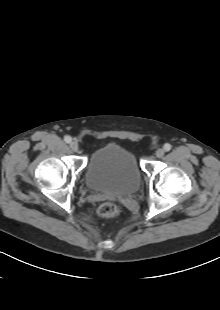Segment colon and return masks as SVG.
I'll use <instances>...</instances> for the list:
<instances>
[{
	"label": "colon",
	"instance_id": "colon-1",
	"mask_svg": "<svg viewBox=\"0 0 220 310\" xmlns=\"http://www.w3.org/2000/svg\"><path fill=\"white\" fill-rule=\"evenodd\" d=\"M119 213V207L114 203H103L97 209L98 216L102 218L115 217Z\"/></svg>",
	"mask_w": 220,
	"mask_h": 310
}]
</instances>
